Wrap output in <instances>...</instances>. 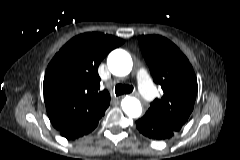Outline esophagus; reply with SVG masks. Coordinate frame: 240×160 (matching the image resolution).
<instances>
[{
	"label": "esophagus",
	"instance_id": "obj_1",
	"mask_svg": "<svg viewBox=\"0 0 240 160\" xmlns=\"http://www.w3.org/2000/svg\"><path fill=\"white\" fill-rule=\"evenodd\" d=\"M132 95L138 97L139 93L138 92H133Z\"/></svg>",
	"mask_w": 240,
	"mask_h": 160
}]
</instances>
